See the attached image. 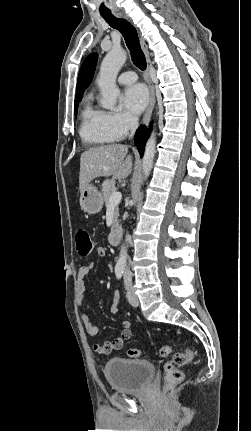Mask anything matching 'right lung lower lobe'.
<instances>
[{"label":"right lung lower lobe","mask_w":251,"mask_h":431,"mask_svg":"<svg viewBox=\"0 0 251 431\" xmlns=\"http://www.w3.org/2000/svg\"><path fill=\"white\" fill-rule=\"evenodd\" d=\"M150 132H151V126L149 129H146L145 126H140L136 131L135 144L138 148V151H139L141 157L144 154L145 144H146V141L149 137Z\"/></svg>","instance_id":"obj_1"}]
</instances>
